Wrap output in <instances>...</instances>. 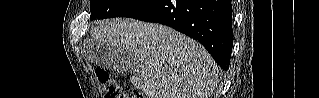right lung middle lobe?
Returning <instances> with one entry per match:
<instances>
[{
	"label": "right lung middle lobe",
	"instance_id": "dd1d6c3e",
	"mask_svg": "<svg viewBox=\"0 0 319 98\" xmlns=\"http://www.w3.org/2000/svg\"><path fill=\"white\" fill-rule=\"evenodd\" d=\"M146 0H90L91 20L118 17Z\"/></svg>",
	"mask_w": 319,
	"mask_h": 98
}]
</instances>
